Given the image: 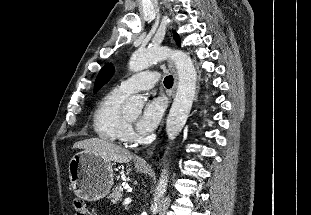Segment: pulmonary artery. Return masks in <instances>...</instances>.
I'll use <instances>...</instances> for the list:
<instances>
[{"instance_id":"e3ab8cb5","label":"pulmonary artery","mask_w":311,"mask_h":215,"mask_svg":"<svg viewBox=\"0 0 311 215\" xmlns=\"http://www.w3.org/2000/svg\"><path fill=\"white\" fill-rule=\"evenodd\" d=\"M157 81L158 74L156 72L143 71L123 80L117 88L128 95L140 90L151 89Z\"/></svg>"}]
</instances>
